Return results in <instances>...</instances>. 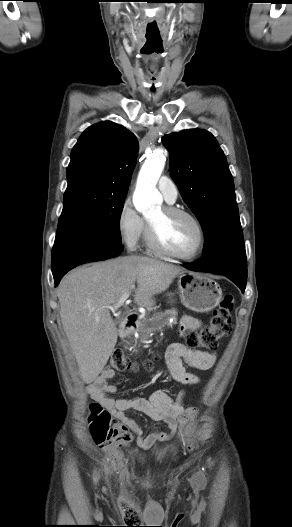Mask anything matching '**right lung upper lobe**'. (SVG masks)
Returning a JSON list of instances; mask_svg holds the SVG:
<instances>
[{"label": "right lung upper lobe", "mask_w": 292, "mask_h": 527, "mask_svg": "<svg viewBox=\"0 0 292 527\" xmlns=\"http://www.w3.org/2000/svg\"><path fill=\"white\" fill-rule=\"evenodd\" d=\"M138 142L125 127L103 121L87 128L71 152L68 186L87 185L127 193Z\"/></svg>", "instance_id": "right-lung-upper-lobe-1"}]
</instances>
